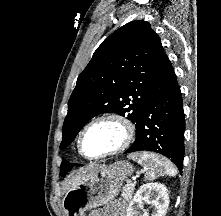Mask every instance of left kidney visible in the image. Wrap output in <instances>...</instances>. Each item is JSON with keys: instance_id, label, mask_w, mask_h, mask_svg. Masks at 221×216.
I'll return each mask as SVG.
<instances>
[{"instance_id": "left-kidney-1", "label": "left kidney", "mask_w": 221, "mask_h": 216, "mask_svg": "<svg viewBox=\"0 0 221 216\" xmlns=\"http://www.w3.org/2000/svg\"><path fill=\"white\" fill-rule=\"evenodd\" d=\"M145 203L154 208L151 216H165L169 206V195L165 185L161 183L142 185L130 202L126 216H149L147 211L143 215H140L138 211L143 208Z\"/></svg>"}]
</instances>
